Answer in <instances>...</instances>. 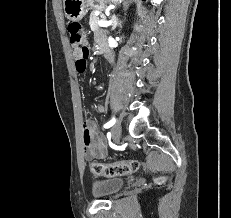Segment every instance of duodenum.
Wrapping results in <instances>:
<instances>
[{
	"label": "duodenum",
	"mask_w": 231,
	"mask_h": 218,
	"mask_svg": "<svg viewBox=\"0 0 231 218\" xmlns=\"http://www.w3.org/2000/svg\"><path fill=\"white\" fill-rule=\"evenodd\" d=\"M102 55L107 59L110 60L111 59V54L107 49H102L101 50Z\"/></svg>",
	"instance_id": "duodenum-1"
}]
</instances>
